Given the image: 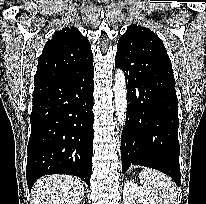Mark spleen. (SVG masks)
Wrapping results in <instances>:
<instances>
[{
	"label": "spleen",
	"mask_w": 206,
	"mask_h": 204,
	"mask_svg": "<svg viewBox=\"0 0 206 204\" xmlns=\"http://www.w3.org/2000/svg\"><path fill=\"white\" fill-rule=\"evenodd\" d=\"M139 179L156 204H176V188L169 176L152 168H144Z\"/></svg>",
	"instance_id": "spleen-1"
}]
</instances>
